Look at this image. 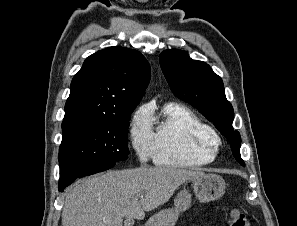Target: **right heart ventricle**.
Here are the masks:
<instances>
[{
	"label": "right heart ventricle",
	"instance_id": "1",
	"mask_svg": "<svg viewBox=\"0 0 297 226\" xmlns=\"http://www.w3.org/2000/svg\"><path fill=\"white\" fill-rule=\"evenodd\" d=\"M154 129L153 159L157 165L196 168L215 160L216 149L207 142L217 139L215 130L190 108L165 104L157 115L150 112Z\"/></svg>",
	"mask_w": 297,
	"mask_h": 226
}]
</instances>
